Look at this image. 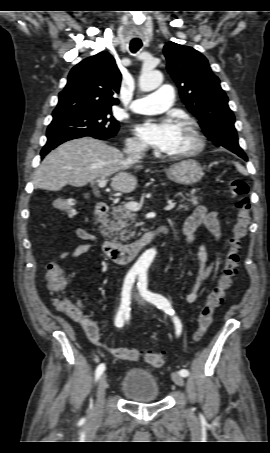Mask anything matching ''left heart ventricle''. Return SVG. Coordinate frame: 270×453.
Masks as SVG:
<instances>
[{
  "instance_id": "left-heart-ventricle-1",
  "label": "left heart ventricle",
  "mask_w": 270,
  "mask_h": 453,
  "mask_svg": "<svg viewBox=\"0 0 270 453\" xmlns=\"http://www.w3.org/2000/svg\"><path fill=\"white\" fill-rule=\"evenodd\" d=\"M193 145L194 139L190 130L185 126L177 124L176 135L171 145L163 151L168 154L179 153L190 149Z\"/></svg>"
}]
</instances>
